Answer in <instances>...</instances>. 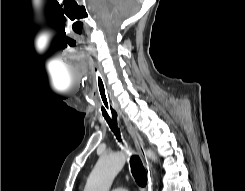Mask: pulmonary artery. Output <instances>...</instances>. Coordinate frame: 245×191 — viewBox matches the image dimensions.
<instances>
[{
  "instance_id": "1",
  "label": "pulmonary artery",
  "mask_w": 245,
  "mask_h": 191,
  "mask_svg": "<svg viewBox=\"0 0 245 191\" xmlns=\"http://www.w3.org/2000/svg\"><path fill=\"white\" fill-rule=\"evenodd\" d=\"M112 191H128L125 188H114Z\"/></svg>"
}]
</instances>
